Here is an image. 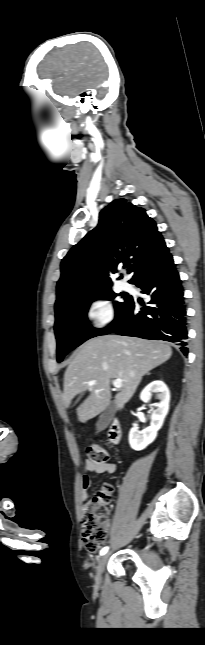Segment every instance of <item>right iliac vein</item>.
Returning <instances> with one entry per match:
<instances>
[{
	"instance_id": "63e3f726",
	"label": "right iliac vein",
	"mask_w": 205,
	"mask_h": 645,
	"mask_svg": "<svg viewBox=\"0 0 205 645\" xmlns=\"http://www.w3.org/2000/svg\"><path fill=\"white\" fill-rule=\"evenodd\" d=\"M109 555H110V553L104 554V555H103L102 557H100V558H99V560H98V564H97V566H96V575H95V582H96V584H100V583H101V579H102V577H101V575H102V571H103V568H104V566H105V564H106V562H107V560H108V558H109Z\"/></svg>"
}]
</instances>
